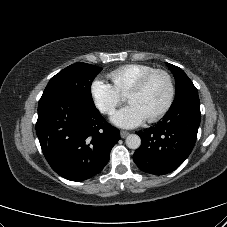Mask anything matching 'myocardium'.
<instances>
[{
	"mask_svg": "<svg viewBox=\"0 0 227 227\" xmlns=\"http://www.w3.org/2000/svg\"><path fill=\"white\" fill-rule=\"evenodd\" d=\"M157 74L164 75L165 78L167 79L168 86H169V95H168V99H167L165 105L157 113H155L154 115L147 118V121L150 123L156 122L159 119H161L164 115H166L174 103L175 96H176V87H175L174 79H173L172 75L170 74V72L165 69H160V68L153 69V70L149 71L148 73L144 74L143 76H141L131 86V88L128 90V92L126 94V96L128 97L130 94H133V93H136V92L142 90L145 87V85L148 83V81L154 75H157Z\"/></svg>",
	"mask_w": 227,
	"mask_h": 227,
	"instance_id": "f54148a6",
	"label": "myocardium"
}]
</instances>
